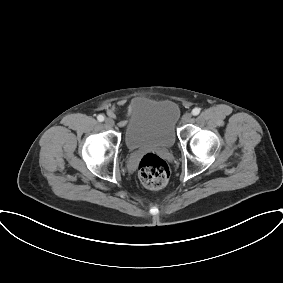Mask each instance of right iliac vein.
<instances>
[{
  "label": "right iliac vein",
  "mask_w": 283,
  "mask_h": 283,
  "mask_svg": "<svg viewBox=\"0 0 283 283\" xmlns=\"http://www.w3.org/2000/svg\"><path fill=\"white\" fill-rule=\"evenodd\" d=\"M104 123L107 127H113L114 126V121L111 118H106Z\"/></svg>",
  "instance_id": "1"
}]
</instances>
